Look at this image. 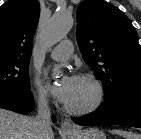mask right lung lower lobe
<instances>
[{
	"label": "right lung lower lobe",
	"mask_w": 141,
	"mask_h": 139,
	"mask_svg": "<svg viewBox=\"0 0 141 139\" xmlns=\"http://www.w3.org/2000/svg\"><path fill=\"white\" fill-rule=\"evenodd\" d=\"M0 108L17 113H29L34 108L31 91L0 93ZM53 121H56L55 117H53Z\"/></svg>",
	"instance_id": "1"
}]
</instances>
